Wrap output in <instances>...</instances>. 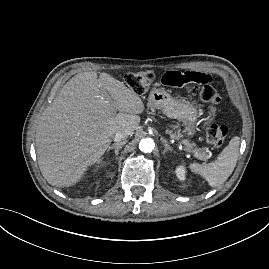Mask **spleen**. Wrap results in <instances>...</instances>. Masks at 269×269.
I'll list each match as a JSON object with an SVG mask.
<instances>
[{
    "label": "spleen",
    "instance_id": "spleen-1",
    "mask_svg": "<svg viewBox=\"0 0 269 269\" xmlns=\"http://www.w3.org/2000/svg\"><path fill=\"white\" fill-rule=\"evenodd\" d=\"M239 137H233L217 159L208 164L190 163L189 169L203 176L211 187L223 184L232 174L239 156Z\"/></svg>",
    "mask_w": 269,
    "mask_h": 269
}]
</instances>
